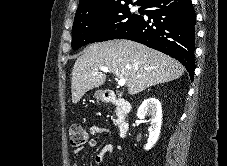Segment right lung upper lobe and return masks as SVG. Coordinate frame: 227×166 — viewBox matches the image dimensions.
Returning a JSON list of instances; mask_svg holds the SVG:
<instances>
[{
    "label": "right lung upper lobe",
    "mask_w": 227,
    "mask_h": 166,
    "mask_svg": "<svg viewBox=\"0 0 227 166\" xmlns=\"http://www.w3.org/2000/svg\"><path fill=\"white\" fill-rule=\"evenodd\" d=\"M150 0H137L135 4L145 5ZM132 0H80L76 13L105 9L124 4H131Z\"/></svg>",
    "instance_id": "cb5924a9"
}]
</instances>
